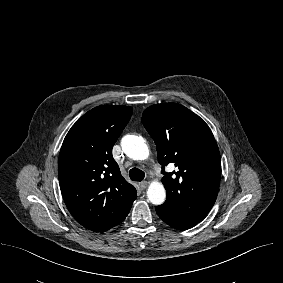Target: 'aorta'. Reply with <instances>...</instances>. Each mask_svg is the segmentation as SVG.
<instances>
[{"instance_id": "762f6f07", "label": "aorta", "mask_w": 283, "mask_h": 283, "mask_svg": "<svg viewBox=\"0 0 283 283\" xmlns=\"http://www.w3.org/2000/svg\"><path fill=\"white\" fill-rule=\"evenodd\" d=\"M124 153L133 160H145L149 156L148 146L141 136L126 135L121 140ZM147 197L154 205H161L166 198V191L162 183L152 182L147 189Z\"/></svg>"}]
</instances>
